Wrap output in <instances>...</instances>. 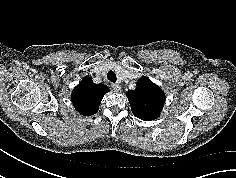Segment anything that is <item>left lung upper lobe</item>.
Here are the masks:
<instances>
[{"label": "left lung upper lobe", "instance_id": "left-lung-upper-lobe-1", "mask_svg": "<svg viewBox=\"0 0 236 178\" xmlns=\"http://www.w3.org/2000/svg\"><path fill=\"white\" fill-rule=\"evenodd\" d=\"M133 114L144 121L159 117L164 106L165 94L149 78L142 77L135 90L127 92Z\"/></svg>", "mask_w": 236, "mask_h": 178}]
</instances>
